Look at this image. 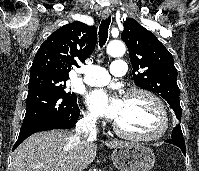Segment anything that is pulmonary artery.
<instances>
[{"instance_id": "pulmonary-artery-1", "label": "pulmonary artery", "mask_w": 199, "mask_h": 171, "mask_svg": "<svg viewBox=\"0 0 199 171\" xmlns=\"http://www.w3.org/2000/svg\"><path fill=\"white\" fill-rule=\"evenodd\" d=\"M81 71L84 74L81 78L84 83L91 86H102L110 81L111 76H123L126 72V63L121 59L114 60L109 72L96 65L84 66Z\"/></svg>"}]
</instances>
